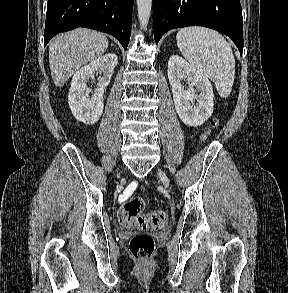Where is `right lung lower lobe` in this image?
Wrapping results in <instances>:
<instances>
[{
  "instance_id": "98d812e1",
  "label": "right lung lower lobe",
  "mask_w": 288,
  "mask_h": 293,
  "mask_svg": "<svg viewBox=\"0 0 288 293\" xmlns=\"http://www.w3.org/2000/svg\"><path fill=\"white\" fill-rule=\"evenodd\" d=\"M133 0H48L44 46L60 32L87 27L114 36L126 50Z\"/></svg>"
}]
</instances>
